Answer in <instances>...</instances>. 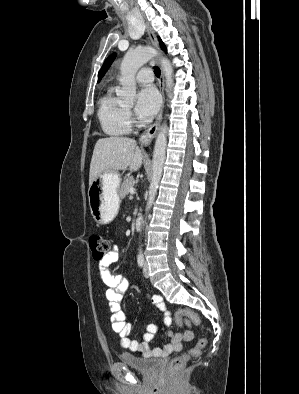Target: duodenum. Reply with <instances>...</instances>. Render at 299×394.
I'll return each instance as SVG.
<instances>
[{
	"label": "duodenum",
	"mask_w": 299,
	"mask_h": 394,
	"mask_svg": "<svg viewBox=\"0 0 299 394\" xmlns=\"http://www.w3.org/2000/svg\"><path fill=\"white\" fill-rule=\"evenodd\" d=\"M142 224H143L142 218H141V217H137L136 220H135V228H136L138 231L141 230Z\"/></svg>",
	"instance_id": "duodenum-1"
}]
</instances>
